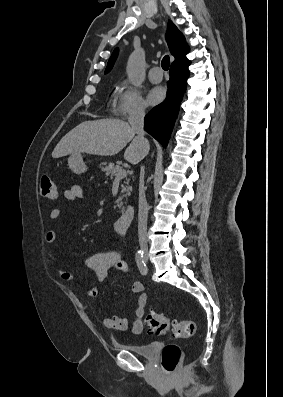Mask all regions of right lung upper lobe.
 <instances>
[{
  "instance_id": "right-lung-upper-lobe-1",
  "label": "right lung upper lobe",
  "mask_w": 283,
  "mask_h": 397,
  "mask_svg": "<svg viewBox=\"0 0 283 397\" xmlns=\"http://www.w3.org/2000/svg\"><path fill=\"white\" fill-rule=\"evenodd\" d=\"M166 40L168 42L171 54L175 57L172 65L188 61V59L186 58V54L189 52V47L186 44L184 36L180 33V31L177 29L172 21L168 22ZM117 55L118 49H115L108 61L105 74L112 69Z\"/></svg>"
}]
</instances>
